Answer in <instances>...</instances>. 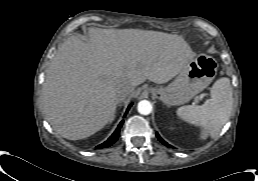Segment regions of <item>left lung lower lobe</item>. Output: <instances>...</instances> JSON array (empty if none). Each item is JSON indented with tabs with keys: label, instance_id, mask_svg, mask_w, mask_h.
<instances>
[{
	"label": "left lung lower lobe",
	"instance_id": "obj_1",
	"mask_svg": "<svg viewBox=\"0 0 258 181\" xmlns=\"http://www.w3.org/2000/svg\"><path fill=\"white\" fill-rule=\"evenodd\" d=\"M156 136H157V138L159 139V141H160L161 143H163L165 146H167V147H172V146L169 145L167 142H165V141L158 135V133L156 134Z\"/></svg>",
	"mask_w": 258,
	"mask_h": 181
}]
</instances>
